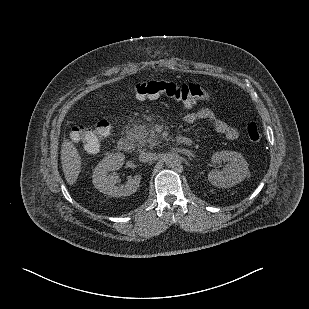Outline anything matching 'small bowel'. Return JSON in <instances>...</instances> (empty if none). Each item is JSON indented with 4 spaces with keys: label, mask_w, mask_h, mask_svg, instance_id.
<instances>
[{
    "label": "small bowel",
    "mask_w": 309,
    "mask_h": 309,
    "mask_svg": "<svg viewBox=\"0 0 309 309\" xmlns=\"http://www.w3.org/2000/svg\"><path fill=\"white\" fill-rule=\"evenodd\" d=\"M183 108L186 110H190L191 106L183 104ZM199 120H207L212 122L215 130L218 133L223 134L228 140H235L238 138V131L226 123L221 118L217 117L210 109L201 108L195 111H189L185 116V121L189 124L195 123ZM98 146H95L92 150H87L88 152L95 151Z\"/></svg>",
    "instance_id": "small-bowel-1"
}]
</instances>
